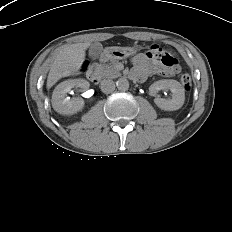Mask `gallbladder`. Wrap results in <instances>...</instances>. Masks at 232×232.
I'll list each match as a JSON object with an SVG mask.
<instances>
[{
  "instance_id": "gallbladder-1",
  "label": "gallbladder",
  "mask_w": 232,
  "mask_h": 232,
  "mask_svg": "<svg viewBox=\"0 0 232 232\" xmlns=\"http://www.w3.org/2000/svg\"><path fill=\"white\" fill-rule=\"evenodd\" d=\"M102 50H103L102 45L100 43H95L91 45V47L89 48L88 55L90 56V58L96 59L100 56Z\"/></svg>"
}]
</instances>
